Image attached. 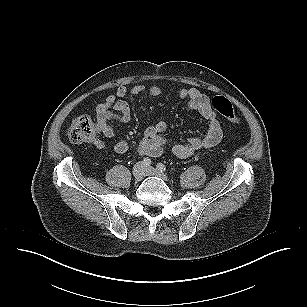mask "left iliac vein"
Wrapping results in <instances>:
<instances>
[{"label":"left iliac vein","mask_w":307,"mask_h":307,"mask_svg":"<svg viewBox=\"0 0 307 307\" xmlns=\"http://www.w3.org/2000/svg\"><path fill=\"white\" fill-rule=\"evenodd\" d=\"M145 173L147 176H155V177H158L164 181H169V178L166 174L156 170L155 168L153 167H147L145 168Z\"/></svg>","instance_id":"4c4485c4"}]
</instances>
